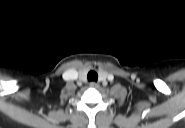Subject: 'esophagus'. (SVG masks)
<instances>
[{"label": "esophagus", "mask_w": 185, "mask_h": 128, "mask_svg": "<svg viewBox=\"0 0 185 128\" xmlns=\"http://www.w3.org/2000/svg\"><path fill=\"white\" fill-rule=\"evenodd\" d=\"M89 86L92 87V88H98L99 84L96 83V82H90Z\"/></svg>", "instance_id": "34e87169"}]
</instances>
